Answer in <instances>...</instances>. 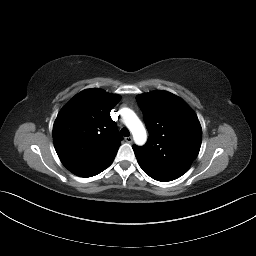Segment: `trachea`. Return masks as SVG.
I'll return each mask as SVG.
<instances>
[{
	"label": "trachea",
	"mask_w": 256,
	"mask_h": 256,
	"mask_svg": "<svg viewBox=\"0 0 256 256\" xmlns=\"http://www.w3.org/2000/svg\"><path fill=\"white\" fill-rule=\"evenodd\" d=\"M120 133L124 137H129V135H130V132H129V130L127 128H122Z\"/></svg>",
	"instance_id": "1"
}]
</instances>
